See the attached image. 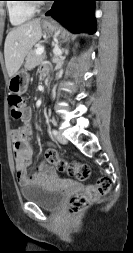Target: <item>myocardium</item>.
<instances>
[{
	"instance_id": "myocardium-1",
	"label": "myocardium",
	"mask_w": 133,
	"mask_h": 253,
	"mask_svg": "<svg viewBox=\"0 0 133 253\" xmlns=\"http://www.w3.org/2000/svg\"><path fill=\"white\" fill-rule=\"evenodd\" d=\"M29 7H31L32 9H36L39 7V4L35 3V2H31V3H27Z\"/></svg>"
}]
</instances>
